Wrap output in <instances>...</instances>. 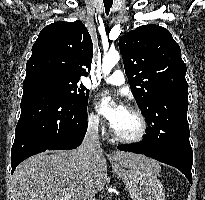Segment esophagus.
<instances>
[{"label": "esophagus", "instance_id": "obj_1", "mask_svg": "<svg viewBox=\"0 0 205 200\" xmlns=\"http://www.w3.org/2000/svg\"><path fill=\"white\" fill-rule=\"evenodd\" d=\"M108 157H110V158H111V155H110V154H108Z\"/></svg>", "mask_w": 205, "mask_h": 200}]
</instances>
